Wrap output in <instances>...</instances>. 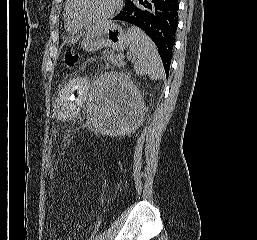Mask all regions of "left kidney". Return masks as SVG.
Listing matches in <instances>:
<instances>
[{
	"mask_svg": "<svg viewBox=\"0 0 257 240\" xmlns=\"http://www.w3.org/2000/svg\"><path fill=\"white\" fill-rule=\"evenodd\" d=\"M144 114L143 97L126 74L109 72L94 82L88 115L95 132L125 135L139 126Z\"/></svg>",
	"mask_w": 257,
	"mask_h": 240,
	"instance_id": "1",
	"label": "left kidney"
}]
</instances>
